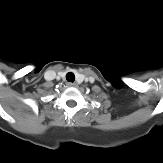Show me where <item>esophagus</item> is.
<instances>
[{"label": "esophagus", "instance_id": "esophagus-1", "mask_svg": "<svg viewBox=\"0 0 163 163\" xmlns=\"http://www.w3.org/2000/svg\"><path fill=\"white\" fill-rule=\"evenodd\" d=\"M67 86L68 87H77V84L76 83H73V82H68L67 83Z\"/></svg>", "mask_w": 163, "mask_h": 163}]
</instances>
